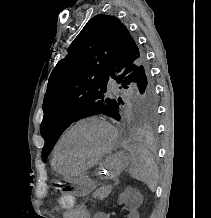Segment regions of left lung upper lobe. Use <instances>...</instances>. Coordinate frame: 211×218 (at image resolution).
I'll use <instances>...</instances> for the list:
<instances>
[{"mask_svg": "<svg viewBox=\"0 0 211 218\" xmlns=\"http://www.w3.org/2000/svg\"><path fill=\"white\" fill-rule=\"evenodd\" d=\"M67 51L49 77L43 101V162L72 122L99 113L120 120L124 102L105 98L109 79L123 88L136 83L141 94L140 119L149 130L155 129L156 96L146 54L120 20L104 14L94 16Z\"/></svg>", "mask_w": 211, "mask_h": 218, "instance_id": "left-lung-upper-lobe-1", "label": "left lung upper lobe"}]
</instances>
